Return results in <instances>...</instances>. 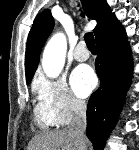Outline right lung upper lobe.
I'll use <instances>...</instances> for the list:
<instances>
[{"mask_svg":"<svg viewBox=\"0 0 139 150\" xmlns=\"http://www.w3.org/2000/svg\"><path fill=\"white\" fill-rule=\"evenodd\" d=\"M82 4L88 18L97 21V25L93 30L96 37L114 14L106 0H82ZM53 26L54 20L50 10L41 12L34 20L26 46L25 71L27 82L31 81L35 73L39 63L41 48L52 31Z\"/></svg>","mask_w":139,"mask_h":150,"instance_id":"obj_1","label":"right lung upper lobe"}]
</instances>
